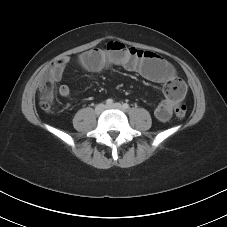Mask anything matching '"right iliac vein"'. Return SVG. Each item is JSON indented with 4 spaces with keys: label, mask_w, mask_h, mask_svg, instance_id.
<instances>
[{
    "label": "right iliac vein",
    "mask_w": 227,
    "mask_h": 227,
    "mask_svg": "<svg viewBox=\"0 0 227 227\" xmlns=\"http://www.w3.org/2000/svg\"><path fill=\"white\" fill-rule=\"evenodd\" d=\"M106 109V105L104 104H98L96 107H95V112L96 114H101L104 110Z\"/></svg>",
    "instance_id": "1"
}]
</instances>
